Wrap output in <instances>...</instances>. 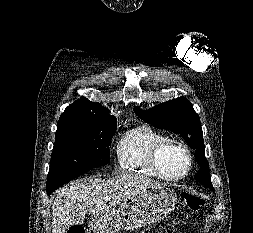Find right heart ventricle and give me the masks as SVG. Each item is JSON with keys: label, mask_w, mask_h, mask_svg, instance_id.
<instances>
[{"label": "right heart ventricle", "mask_w": 253, "mask_h": 233, "mask_svg": "<svg viewBox=\"0 0 253 233\" xmlns=\"http://www.w3.org/2000/svg\"><path fill=\"white\" fill-rule=\"evenodd\" d=\"M168 138L150 125H140L127 130L116 146L117 163L127 172L149 177H159L150 163L153 150Z\"/></svg>", "instance_id": "right-heart-ventricle-1"}]
</instances>
